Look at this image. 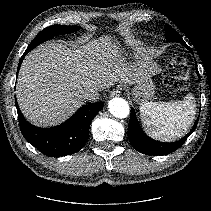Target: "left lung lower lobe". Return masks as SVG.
Returning <instances> with one entry per match:
<instances>
[{
  "mask_svg": "<svg viewBox=\"0 0 211 211\" xmlns=\"http://www.w3.org/2000/svg\"><path fill=\"white\" fill-rule=\"evenodd\" d=\"M178 43L183 44L188 48L183 39L179 40ZM197 74L199 75L198 69ZM198 119L191 129L190 133L173 143H164L155 141L149 138L141 129L136 114L133 108H131L130 121L128 126V137L132 146L139 152L146 155H166L177 150L187 139V137L195 130Z\"/></svg>",
  "mask_w": 211,
  "mask_h": 211,
  "instance_id": "obj_1",
  "label": "left lung lower lobe"
}]
</instances>
